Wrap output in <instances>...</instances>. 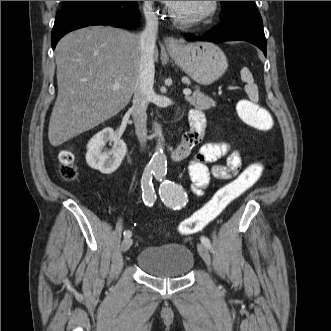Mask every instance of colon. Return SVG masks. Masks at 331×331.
I'll return each mask as SVG.
<instances>
[{"mask_svg": "<svg viewBox=\"0 0 331 331\" xmlns=\"http://www.w3.org/2000/svg\"><path fill=\"white\" fill-rule=\"evenodd\" d=\"M238 114L242 121L250 127L269 131L274 122L270 112L249 100H241L237 106ZM61 174L66 180H74L77 169L74 165L73 154L65 150L60 154ZM263 168L255 163L246 167L235 178L222 186L215 195L193 215L180 224L179 231L183 235H191L217 219L227 207L250 188L262 177Z\"/></svg>", "mask_w": 331, "mask_h": 331, "instance_id": "colon-1", "label": "colon"}]
</instances>
